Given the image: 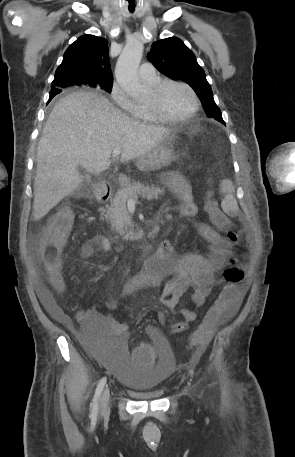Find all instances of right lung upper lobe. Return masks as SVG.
I'll use <instances>...</instances> for the list:
<instances>
[{
	"mask_svg": "<svg viewBox=\"0 0 295 457\" xmlns=\"http://www.w3.org/2000/svg\"><path fill=\"white\" fill-rule=\"evenodd\" d=\"M107 82H113L108 41L94 35H83L64 53L51 87L59 90L68 84L90 86L95 83L101 86Z\"/></svg>",
	"mask_w": 295,
	"mask_h": 457,
	"instance_id": "1",
	"label": "right lung upper lobe"
}]
</instances>
